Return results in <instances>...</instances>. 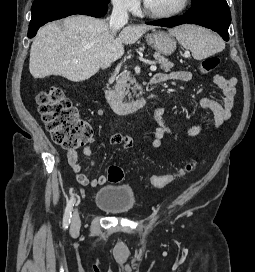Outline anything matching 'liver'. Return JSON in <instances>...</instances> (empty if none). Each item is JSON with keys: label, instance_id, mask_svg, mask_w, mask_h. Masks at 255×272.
Returning a JSON list of instances; mask_svg holds the SVG:
<instances>
[{"label": "liver", "instance_id": "liver-1", "mask_svg": "<svg viewBox=\"0 0 255 272\" xmlns=\"http://www.w3.org/2000/svg\"><path fill=\"white\" fill-rule=\"evenodd\" d=\"M152 25H128L114 38L107 21L73 15L41 27L30 49L29 70L35 79L50 75L80 82L106 69Z\"/></svg>", "mask_w": 255, "mask_h": 272}]
</instances>
